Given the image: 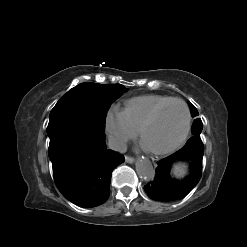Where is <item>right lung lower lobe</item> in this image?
<instances>
[{"mask_svg": "<svg viewBox=\"0 0 247 247\" xmlns=\"http://www.w3.org/2000/svg\"><path fill=\"white\" fill-rule=\"evenodd\" d=\"M104 129L77 114L51 118L47 127L56 186L66 199L83 208L107 200L112 171L125 161L121 154L106 149Z\"/></svg>", "mask_w": 247, "mask_h": 247, "instance_id": "right-lung-lower-lobe-1", "label": "right lung lower lobe"}]
</instances>
